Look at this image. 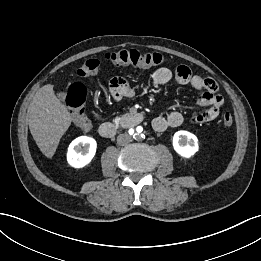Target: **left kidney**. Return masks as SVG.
I'll use <instances>...</instances> for the list:
<instances>
[{"label": "left kidney", "mask_w": 261, "mask_h": 261, "mask_svg": "<svg viewBox=\"0 0 261 261\" xmlns=\"http://www.w3.org/2000/svg\"><path fill=\"white\" fill-rule=\"evenodd\" d=\"M174 150L184 158H190L199 149L197 137L188 131H178L173 136Z\"/></svg>", "instance_id": "5707ae66"}]
</instances>
